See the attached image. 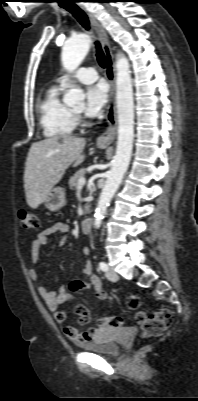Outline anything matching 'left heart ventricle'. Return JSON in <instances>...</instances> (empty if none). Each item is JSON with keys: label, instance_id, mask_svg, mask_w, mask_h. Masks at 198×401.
Instances as JSON below:
<instances>
[{"label": "left heart ventricle", "instance_id": "left-heart-ventricle-1", "mask_svg": "<svg viewBox=\"0 0 198 401\" xmlns=\"http://www.w3.org/2000/svg\"><path fill=\"white\" fill-rule=\"evenodd\" d=\"M82 109H83L82 106H79V107L75 108L76 111H80V112L82 111Z\"/></svg>", "mask_w": 198, "mask_h": 401}]
</instances>
